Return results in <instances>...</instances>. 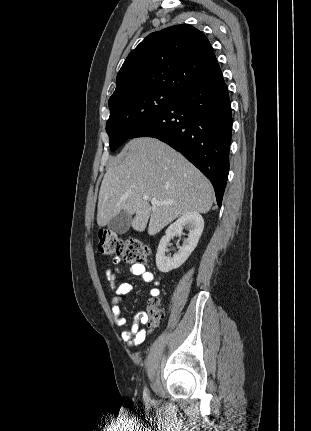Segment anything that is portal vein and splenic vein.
I'll use <instances>...</instances> for the list:
<instances>
[{
  "label": "portal vein and splenic vein",
  "instance_id": "portal-vein-and-splenic-vein-1",
  "mask_svg": "<svg viewBox=\"0 0 311 431\" xmlns=\"http://www.w3.org/2000/svg\"><path fill=\"white\" fill-rule=\"evenodd\" d=\"M143 200H149L153 206H167L171 202H158L157 198H149V196H143Z\"/></svg>",
  "mask_w": 311,
  "mask_h": 431
}]
</instances>
